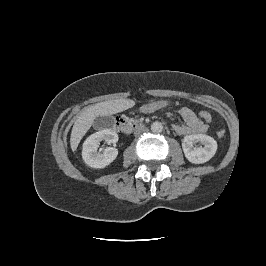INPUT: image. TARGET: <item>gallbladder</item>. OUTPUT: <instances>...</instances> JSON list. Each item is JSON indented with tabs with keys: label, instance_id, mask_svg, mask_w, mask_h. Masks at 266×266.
I'll list each match as a JSON object with an SVG mask.
<instances>
[{
	"label": "gallbladder",
	"instance_id": "gallbladder-1",
	"mask_svg": "<svg viewBox=\"0 0 266 266\" xmlns=\"http://www.w3.org/2000/svg\"><path fill=\"white\" fill-rule=\"evenodd\" d=\"M114 124V118L112 116H99L94 120L95 128H110Z\"/></svg>",
	"mask_w": 266,
	"mask_h": 266
}]
</instances>
